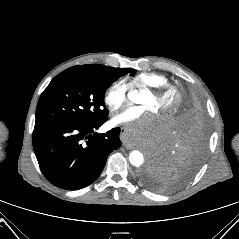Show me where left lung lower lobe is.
Returning <instances> with one entry per match:
<instances>
[{
	"mask_svg": "<svg viewBox=\"0 0 239 239\" xmlns=\"http://www.w3.org/2000/svg\"><path fill=\"white\" fill-rule=\"evenodd\" d=\"M207 122L199 96L188 94L174 124L152 151L147 172L157 175L165 190L188 182L197 171L207 141Z\"/></svg>",
	"mask_w": 239,
	"mask_h": 239,
	"instance_id": "obj_1",
	"label": "left lung lower lobe"
}]
</instances>
